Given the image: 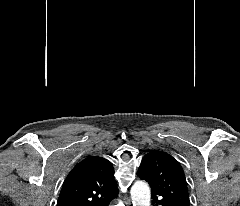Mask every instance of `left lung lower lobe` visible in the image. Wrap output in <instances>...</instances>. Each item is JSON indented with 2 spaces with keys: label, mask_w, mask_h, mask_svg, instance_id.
<instances>
[{
  "label": "left lung lower lobe",
  "mask_w": 240,
  "mask_h": 206,
  "mask_svg": "<svg viewBox=\"0 0 240 206\" xmlns=\"http://www.w3.org/2000/svg\"><path fill=\"white\" fill-rule=\"evenodd\" d=\"M138 176L143 179V180H146L145 177L141 174V173H137ZM161 196L159 193L157 192H154L152 191V198L153 200H155V202H153V205L154 206H158V205H161V206H170L168 204V202L166 200H164L163 198L162 199H158V197Z\"/></svg>",
  "instance_id": "0a47b994"
}]
</instances>
